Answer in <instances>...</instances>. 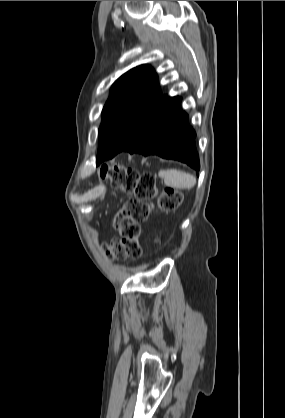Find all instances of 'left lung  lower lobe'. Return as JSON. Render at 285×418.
Returning <instances> with one entry per match:
<instances>
[{
    "label": "left lung lower lobe",
    "instance_id": "1",
    "mask_svg": "<svg viewBox=\"0 0 285 418\" xmlns=\"http://www.w3.org/2000/svg\"><path fill=\"white\" fill-rule=\"evenodd\" d=\"M180 104L181 97H166L123 151L175 159L199 170L196 133L189 127L188 114ZM108 156L107 151L99 154L103 159Z\"/></svg>",
    "mask_w": 285,
    "mask_h": 418
}]
</instances>
